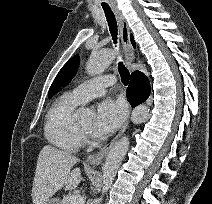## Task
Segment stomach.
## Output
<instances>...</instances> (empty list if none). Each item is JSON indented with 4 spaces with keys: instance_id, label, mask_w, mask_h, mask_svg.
<instances>
[{
    "instance_id": "1",
    "label": "stomach",
    "mask_w": 212,
    "mask_h": 204,
    "mask_svg": "<svg viewBox=\"0 0 212 204\" xmlns=\"http://www.w3.org/2000/svg\"><path fill=\"white\" fill-rule=\"evenodd\" d=\"M45 204H61V203L57 199H49V200L46 201Z\"/></svg>"
}]
</instances>
